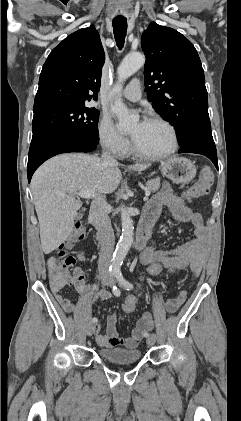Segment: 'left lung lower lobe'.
Here are the masks:
<instances>
[{"instance_id": "0a47b994", "label": "left lung lower lobe", "mask_w": 241, "mask_h": 421, "mask_svg": "<svg viewBox=\"0 0 241 421\" xmlns=\"http://www.w3.org/2000/svg\"><path fill=\"white\" fill-rule=\"evenodd\" d=\"M197 153L208 157L218 169L217 151L211 130H204L190 142L181 145L179 153Z\"/></svg>"}]
</instances>
